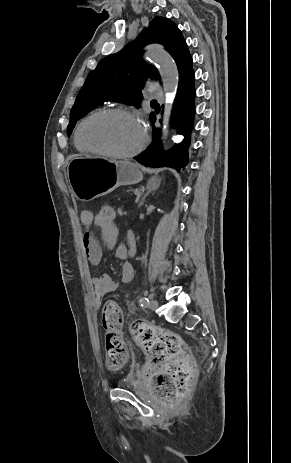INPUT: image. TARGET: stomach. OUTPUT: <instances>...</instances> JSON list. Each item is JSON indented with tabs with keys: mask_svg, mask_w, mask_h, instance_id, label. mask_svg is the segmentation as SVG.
I'll list each match as a JSON object with an SVG mask.
<instances>
[{
	"mask_svg": "<svg viewBox=\"0 0 291 463\" xmlns=\"http://www.w3.org/2000/svg\"><path fill=\"white\" fill-rule=\"evenodd\" d=\"M67 177L76 198L90 201L121 185L139 183L143 173L137 164L129 161L73 155L67 165Z\"/></svg>",
	"mask_w": 291,
	"mask_h": 463,
	"instance_id": "obj_1",
	"label": "stomach"
}]
</instances>
